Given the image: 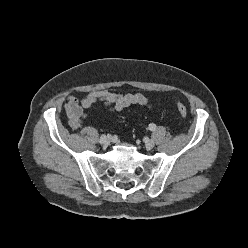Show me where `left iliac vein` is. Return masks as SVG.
Returning <instances> with one entry per match:
<instances>
[{
	"label": "left iliac vein",
	"mask_w": 248,
	"mask_h": 248,
	"mask_svg": "<svg viewBox=\"0 0 248 248\" xmlns=\"http://www.w3.org/2000/svg\"><path fill=\"white\" fill-rule=\"evenodd\" d=\"M154 145H155V143H154L153 140H151V139H146L145 140V147L147 149H152L154 147Z\"/></svg>",
	"instance_id": "1"
}]
</instances>
